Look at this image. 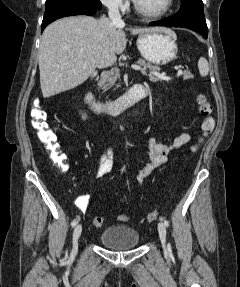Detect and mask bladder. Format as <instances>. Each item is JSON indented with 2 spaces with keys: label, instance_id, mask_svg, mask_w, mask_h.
<instances>
[{
  "label": "bladder",
  "instance_id": "31cf9c89",
  "mask_svg": "<svg viewBox=\"0 0 240 287\" xmlns=\"http://www.w3.org/2000/svg\"><path fill=\"white\" fill-rule=\"evenodd\" d=\"M100 243L110 249L127 250L136 247L140 242L137 230L130 226H110L99 236Z\"/></svg>",
  "mask_w": 240,
  "mask_h": 287
}]
</instances>
